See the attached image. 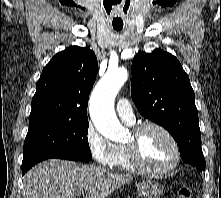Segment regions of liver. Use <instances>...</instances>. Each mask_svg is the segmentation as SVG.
Returning <instances> with one entry per match:
<instances>
[{
    "instance_id": "6515ba94",
    "label": "liver",
    "mask_w": 221,
    "mask_h": 198,
    "mask_svg": "<svg viewBox=\"0 0 221 198\" xmlns=\"http://www.w3.org/2000/svg\"><path fill=\"white\" fill-rule=\"evenodd\" d=\"M131 179L128 174L94 165L49 159L25 174L23 195L24 198H76L87 191L86 198H107Z\"/></svg>"
}]
</instances>
